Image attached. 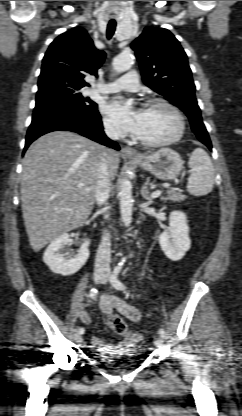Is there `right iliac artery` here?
<instances>
[{
	"instance_id": "1",
	"label": "right iliac artery",
	"mask_w": 242,
	"mask_h": 416,
	"mask_svg": "<svg viewBox=\"0 0 242 416\" xmlns=\"http://www.w3.org/2000/svg\"><path fill=\"white\" fill-rule=\"evenodd\" d=\"M97 295H98V291H97V289H96V288H92V289L90 290V294H89V296H90L92 299H96ZM77 331H78L79 333H81V334H83V333L85 332L84 328H78V330H77Z\"/></svg>"
}]
</instances>
